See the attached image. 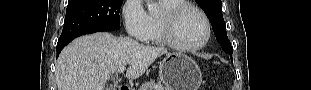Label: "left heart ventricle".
Here are the masks:
<instances>
[{
  "mask_svg": "<svg viewBox=\"0 0 311 90\" xmlns=\"http://www.w3.org/2000/svg\"><path fill=\"white\" fill-rule=\"evenodd\" d=\"M174 33L180 44L193 46L204 39L206 28L199 14L192 10H187L178 19Z\"/></svg>",
  "mask_w": 311,
  "mask_h": 90,
  "instance_id": "b2bd125f",
  "label": "left heart ventricle"
}]
</instances>
